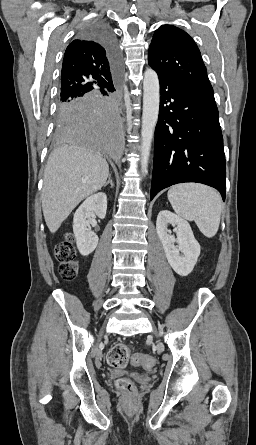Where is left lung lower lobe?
<instances>
[{
	"label": "left lung lower lobe",
	"mask_w": 256,
	"mask_h": 445,
	"mask_svg": "<svg viewBox=\"0 0 256 445\" xmlns=\"http://www.w3.org/2000/svg\"><path fill=\"white\" fill-rule=\"evenodd\" d=\"M159 81L150 200L183 182L214 187L225 200L226 163L214 95L173 77L159 76Z\"/></svg>",
	"instance_id": "obj_1"
}]
</instances>
